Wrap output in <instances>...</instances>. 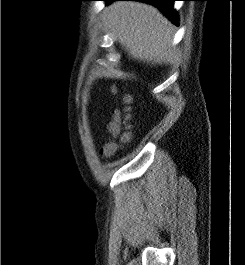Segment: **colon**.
Returning <instances> with one entry per match:
<instances>
[{
	"label": "colon",
	"instance_id": "colon-1",
	"mask_svg": "<svg viewBox=\"0 0 245 265\" xmlns=\"http://www.w3.org/2000/svg\"><path fill=\"white\" fill-rule=\"evenodd\" d=\"M115 91V89L113 90ZM130 97L124 96L122 101L124 104L123 109H117L114 111L112 120L109 124V130L114 138H119L120 141L127 142L130 139V132L128 131L127 121L130 118ZM119 147V144L116 141H109L106 143L102 149L104 154L110 155L114 153Z\"/></svg>",
	"mask_w": 245,
	"mask_h": 265
}]
</instances>
